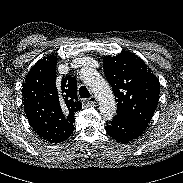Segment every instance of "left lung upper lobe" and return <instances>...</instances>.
<instances>
[{"mask_svg": "<svg viewBox=\"0 0 183 183\" xmlns=\"http://www.w3.org/2000/svg\"><path fill=\"white\" fill-rule=\"evenodd\" d=\"M105 76L117 104L115 117L147 125L159 101L160 84L151 69L134 53L123 51L103 59Z\"/></svg>", "mask_w": 183, "mask_h": 183, "instance_id": "left-lung-upper-lobe-1", "label": "left lung upper lobe"}]
</instances>
